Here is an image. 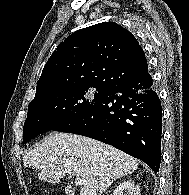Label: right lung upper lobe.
<instances>
[{
	"label": "right lung upper lobe",
	"mask_w": 189,
	"mask_h": 195,
	"mask_svg": "<svg viewBox=\"0 0 189 195\" xmlns=\"http://www.w3.org/2000/svg\"><path fill=\"white\" fill-rule=\"evenodd\" d=\"M145 54L134 35L114 22L69 35L48 59L35 98L79 86L110 88L145 73Z\"/></svg>",
	"instance_id": "1"
}]
</instances>
